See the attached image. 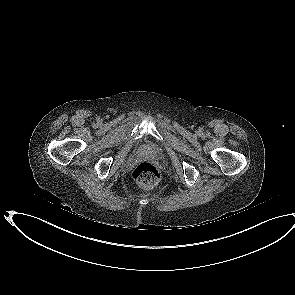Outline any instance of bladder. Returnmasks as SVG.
Here are the masks:
<instances>
[{
    "label": "bladder",
    "mask_w": 295,
    "mask_h": 295,
    "mask_svg": "<svg viewBox=\"0 0 295 295\" xmlns=\"http://www.w3.org/2000/svg\"><path fill=\"white\" fill-rule=\"evenodd\" d=\"M146 150L152 155H159V150L153 146L146 147Z\"/></svg>",
    "instance_id": "31cf9c89"
}]
</instances>
